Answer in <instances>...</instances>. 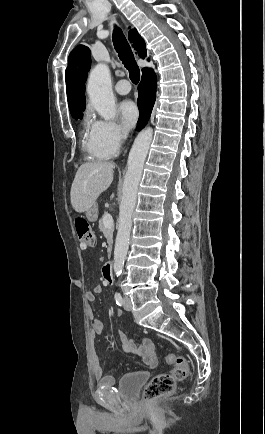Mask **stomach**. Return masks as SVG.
I'll use <instances>...</instances> for the list:
<instances>
[{"mask_svg":"<svg viewBox=\"0 0 265 434\" xmlns=\"http://www.w3.org/2000/svg\"><path fill=\"white\" fill-rule=\"evenodd\" d=\"M98 216V206L97 204H93L92 208H89L86 212V218H88L89 222H95Z\"/></svg>","mask_w":265,"mask_h":434,"instance_id":"0dacf381","label":"stomach"}]
</instances>
